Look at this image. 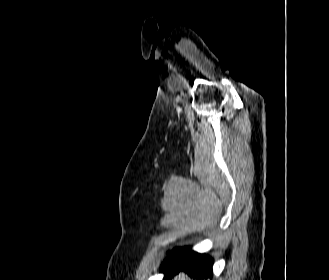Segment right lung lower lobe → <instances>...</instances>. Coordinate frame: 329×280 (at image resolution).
<instances>
[{"instance_id": "1", "label": "right lung lower lobe", "mask_w": 329, "mask_h": 280, "mask_svg": "<svg viewBox=\"0 0 329 280\" xmlns=\"http://www.w3.org/2000/svg\"><path fill=\"white\" fill-rule=\"evenodd\" d=\"M213 261L210 257L198 254L189 247L175 248L161 266L165 278H171L183 271L193 278H207L212 274Z\"/></svg>"}]
</instances>
